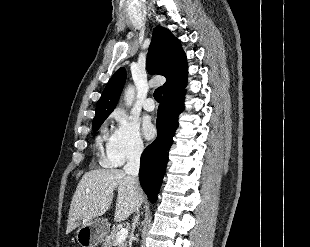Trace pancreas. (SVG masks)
Wrapping results in <instances>:
<instances>
[{"label":"pancreas","instance_id":"1","mask_svg":"<svg viewBox=\"0 0 310 247\" xmlns=\"http://www.w3.org/2000/svg\"><path fill=\"white\" fill-rule=\"evenodd\" d=\"M117 231L113 229L110 234L106 235L105 238L103 239V244L102 247H127V242L124 240L121 243L114 244V241L116 239Z\"/></svg>","mask_w":310,"mask_h":247}]
</instances>
